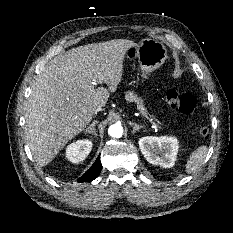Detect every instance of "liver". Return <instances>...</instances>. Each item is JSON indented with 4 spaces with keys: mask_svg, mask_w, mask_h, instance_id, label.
<instances>
[{
    "mask_svg": "<svg viewBox=\"0 0 233 233\" xmlns=\"http://www.w3.org/2000/svg\"><path fill=\"white\" fill-rule=\"evenodd\" d=\"M127 39L88 44L68 50L36 79L28 98L25 133L32 155L45 166L104 107L122 78ZM105 83L95 88V84Z\"/></svg>",
    "mask_w": 233,
    "mask_h": 233,
    "instance_id": "6515ba94",
    "label": "liver"
}]
</instances>
